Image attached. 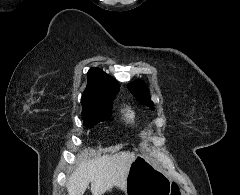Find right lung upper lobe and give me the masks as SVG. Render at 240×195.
Wrapping results in <instances>:
<instances>
[{
  "label": "right lung upper lobe",
  "mask_w": 240,
  "mask_h": 195,
  "mask_svg": "<svg viewBox=\"0 0 240 195\" xmlns=\"http://www.w3.org/2000/svg\"><path fill=\"white\" fill-rule=\"evenodd\" d=\"M81 102H112L119 90V83L99 68H91Z\"/></svg>",
  "instance_id": "obj_1"
}]
</instances>
